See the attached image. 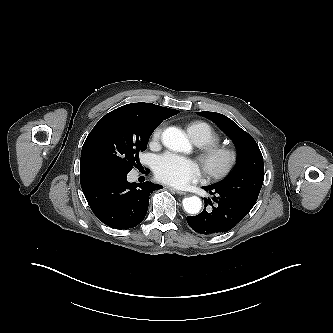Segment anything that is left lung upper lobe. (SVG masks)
Instances as JSON below:
<instances>
[{
    "instance_id": "1",
    "label": "left lung upper lobe",
    "mask_w": 333,
    "mask_h": 333,
    "mask_svg": "<svg viewBox=\"0 0 333 333\" xmlns=\"http://www.w3.org/2000/svg\"><path fill=\"white\" fill-rule=\"evenodd\" d=\"M197 114L216 123L239 152L238 167L227 178L210 186L256 202L264 181V164L253 137L223 114L208 111Z\"/></svg>"
}]
</instances>
